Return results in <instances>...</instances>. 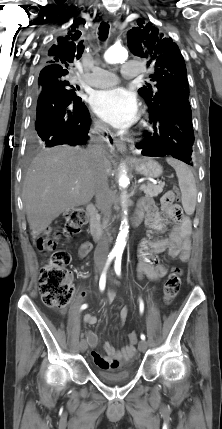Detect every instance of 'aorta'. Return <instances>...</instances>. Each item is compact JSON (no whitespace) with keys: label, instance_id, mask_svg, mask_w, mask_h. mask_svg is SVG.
Returning <instances> with one entry per match:
<instances>
[{"label":"aorta","instance_id":"aorta-1","mask_svg":"<svg viewBox=\"0 0 222 429\" xmlns=\"http://www.w3.org/2000/svg\"><path fill=\"white\" fill-rule=\"evenodd\" d=\"M128 57V52L124 47L121 46H112L110 47L104 54V58L106 62L114 64L118 63L120 61L126 60ZM127 177L125 174H122L119 179L120 186H125L127 184ZM126 214V211H125ZM128 221L127 218L124 217V219L121 222L120 232L116 239V244L113 248L114 253H122L125 245H126V236L128 233Z\"/></svg>","mask_w":222,"mask_h":429}]
</instances>
